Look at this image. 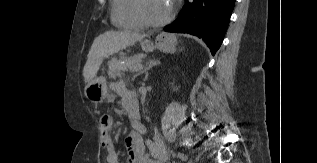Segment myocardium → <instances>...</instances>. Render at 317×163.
Returning a JSON list of instances; mask_svg holds the SVG:
<instances>
[{
  "label": "myocardium",
  "instance_id": "myocardium-1",
  "mask_svg": "<svg viewBox=\"0 0 317 163\" xmlns=\"http://www.w3.org/2000/svg\"><path fill=\"white\" fill-rule=\"evenodd\" d=\"M144 3L145 0H135V9L137 16L145 26L153 28L163 27L167 25L169 22H171V20L174 18L176 14V5L173 3L172 9L166 18L160 21H153L147 16Z\"/></svg>",
  "mask_w": 317,
  "mask_h": 163
}]
</instances>
